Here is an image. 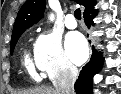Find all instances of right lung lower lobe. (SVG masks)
I'll use <instances>...</instances> for the list:
<instances>
[{
  "mask_svg": "<svg viewBox=\"0 0 121 94\" xmlns=\"http://www.w3.org/2000/svg\"><path fill=\"white\" fill-rule=\"evenodd\" d=\"M97 15L94 8L83 14L85 23L88 27L94 25L93 18ZM90 61L82 68L80 75L75 83L77 94H92L93 76L102 68L103 57L94 48Z\"/></svg>",
  "mask_w": 121,
  "mask_h": 94,
  "instance_id": "obj_1",
  "label": "right lung lower lobe"
}]
</instances>
